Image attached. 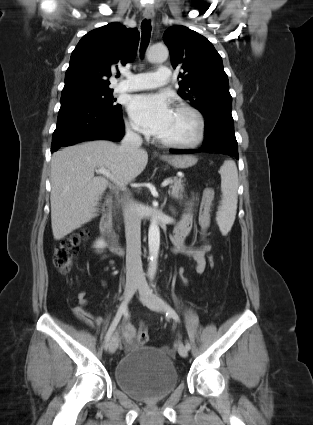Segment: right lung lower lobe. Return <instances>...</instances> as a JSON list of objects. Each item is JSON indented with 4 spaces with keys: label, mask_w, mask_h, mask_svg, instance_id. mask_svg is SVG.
I'll return each mask as SVG.
<instances>
[{
    "label": "right lung lower lobe",
    "mask_w": 313,
    "mask_h": 425,
    "mask_svg": "<svg viewBox=\"0 0 313 425\" xmlns=\"http://www.w3.org/2000/svg\"><path fill=\"white\" fill-rule=\"evenodd\" d=\"M123 135L121 108L110 109L80 98H63L51 152L81 141H119Z\"/></svg>",
    "instance_id": "right-lung-lower-lobe-1"
}]
</instances>
